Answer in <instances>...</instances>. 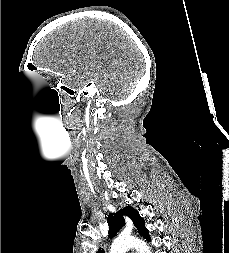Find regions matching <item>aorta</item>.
<instances>
[{"mask_svg": "<svg viewBox=\"0 0 229 253\" xmlns=\"http://www.w3.org/2000/svg\"><path fill=\"white\" fill-rule=\"evenodd\" d=\"M135 248L139 253H152L149 246L137 238H117L111 245L110 253H126L128 249Z\"/></svg>", "mask_w": 229, "mask_h": 253, "instance_id": "1", "label": "aorta"}]
</instances>
